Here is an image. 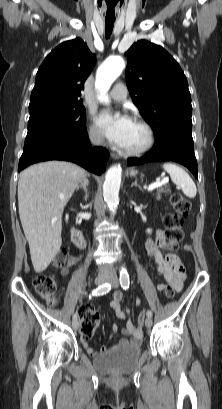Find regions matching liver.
I'll return each mask as SVG.
<instances>
[{"label": "liver", "mask_w": 222, "mask_h": 409, "mask_svg": "<svg viewBox=\"0 0 222 409\" xmlns=\"http://www.w3.org/2000/svg\"><path fill=\"white\" fill-rule=\"evenodd\" d=\"M84 176L83 168L65 161L38 163L19 176V216L37 273L60 250L62 213Z\"/></svg>", "instance_id": "1"}]
</instances>
